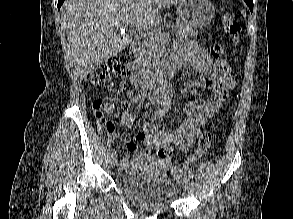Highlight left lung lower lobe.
Returning <instances> with one entry per match:
<instances>
[{"mask_svg": "<svg viewBox=\"0 0 293 219\" xmlns=\"http://www.w3.org/2000/svg\"><path fill=\"white\" fill-rule=\"evenodd\" d=\"M244 1L248 5V7L250 8V11L252 13V11H253V0H244Z\"/></svg>", "mask_w": 293, "mask_h": 219, "instance_id": "0a47b994", "label": "left lung lower lobe"}]
</instances>
